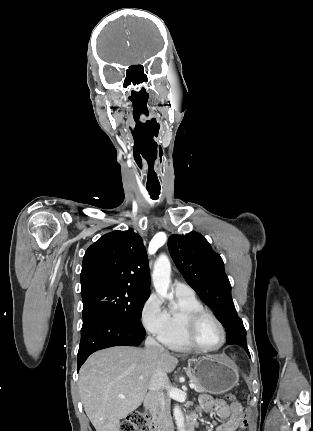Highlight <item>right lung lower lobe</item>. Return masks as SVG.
<instances>
[{"instance_id": "obj_1", "label": "right lung lower lobe", "mask_w": 313, "mask_h": 431, "mask_svg": "<svg viewBox=\"0 0 313 431\" xmlns=\"http://www.w3.org/2000/svg\"><path fill=\"white\" fill-rule=\"evenodd\" d=\"M146 332L107 313H96L83 320L78 351V370L93 352L112 346H137Z\"/></svg>"}]
</instances>
